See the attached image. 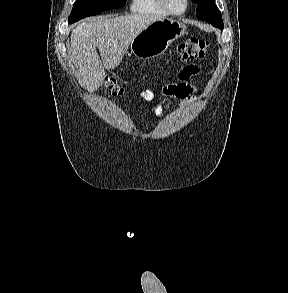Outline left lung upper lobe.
Returning <instances> with one entry per match:
<instances>
[{"label":"left lung upper lobe","mask_w":288,"mask_h":293,"mask_svg":"<svg viewBox=\"0 0 288 293\" xmlns=\"http://www.w3.org/2000/svg\"><path fill=\"white\" fill-rule=\"evenodd\" d=\"M197 5V18L200 20L207 21L213 26L223 29L222 16L217 8L214 5L215 0H192Z\"/></svg>","instance_id":"5c2ea615"}]
</instances>
